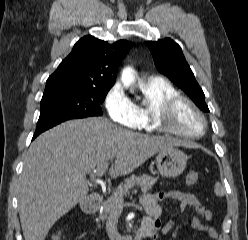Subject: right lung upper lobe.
<instances>
[{
	"instance_id": "right-lung-upper-lobe-1",
	"label": "right lung upper lobe",
	"mask_w": 248,
	"mask_h": 240,
	"mask_svg": "<svg viewBox=\"0 0 248 240\" xmlns=\"http://www.w3.org/2000/svg\"><path fill=\"white\" fill-rule=\"evenodd\" d=\"M131 47L132 44L125 40L108 44L91 35L81 38L48 78L45 91L58 88L110 89L118 66Z\"/></svg>"
}]
</instances>
